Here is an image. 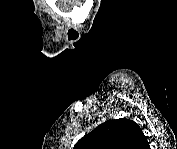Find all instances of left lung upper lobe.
Wrapping results in <instances>:
<instances>
[{
  "label": "left lung upper lobe",
  "mask_w": 177,
  "mask_h": 149,
  "mask_svg": "<svg viewBox=\"0 0 177 149\" xmlns=\"http://www.w3.org/2000/svg\"><path fill=\"white\" fill-rule=\"evenodd\" d=\"M148 141L133 120H108L82 137L74 149H147Z\"/></svg>",
  "instance_id": "left-lung-upper-lobe-1"
}]
</instances>
